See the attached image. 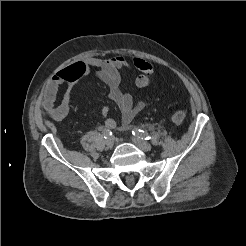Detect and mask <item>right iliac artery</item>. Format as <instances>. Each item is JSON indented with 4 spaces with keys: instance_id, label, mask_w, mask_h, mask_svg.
<instances>
[{
    "instance_id": "82829eb1",
    "label": "right iliac artery",
    "mask_w": 246,
    "mask_h": 246,
    "mask_svg": "<svg viewBox=\"0 0 246 246\" xmlns=\"http://www.w3.org/2000/svg\"><path fill=\"white\" fill-rule=\"evenodd\" d=\"M110 135H112V132L109 129H104L103 136L104 138H108Z\"/></svg>"
}]
</instances>
